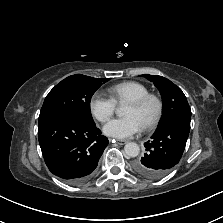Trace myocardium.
Returning a JSON list of instances; mask_svg holds the SVG:
<instances>
[{
    "label": "myocardium",
    "mask_w": 223,
    "mask_h": 223,
    "mask_svg": "<svg viewBox=\"0 0 223 223\" xmlns=\"http://www.w3.org/2000/svg\"><path fill=\"white\" fill-rule=\"evenodd\" d=\"M150 101H153L156 104V111L152 118L141 126L144 130L153 129L160 122L164 112V101L162 97L156 93L149 92L128 102V104H131L137 108H141Z\"/></svg>",
    "instance_id": "1"
}]
</instances>
